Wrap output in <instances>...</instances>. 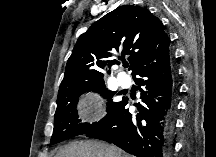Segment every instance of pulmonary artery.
<instances>
[{
    "label": "pulmonary artery",
    "instance_id": "obj_1",
    "mask_svg": "<svg viewBox=\"0 0 216 157\" xmlns=\"http://www.w3.org/2000/svg\"><path fill=\"white\" fill-rule=\"evenodd\" d=\"M117 80H118L119 85L121 87H123V88L129 87L130 84H131L130 78L127 75L123 74V73H119L117 75Z\"/></svg>",
    "mask_w": 216,
    "mask_h": 157
}]
</instances>
